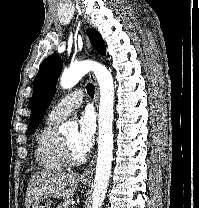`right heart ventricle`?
I'll return each instance as SVG.
<instances>
[{"label":"right heart ventricle","instance_id":"e07e8e85","mask_svg":"<svg viewBox=\"0 0 199 208\" xmlns=\"http://www.w3.org/2000/svg\"><path fill=\"white\" fill-rule=\"evenodd\" d=\"M61 119L48 117L37 135L35 158L47 172H59L67 168L63 151V138L58 132Z\"/></svg>","mask_w":199,"mask_h":208}]
</instances>
